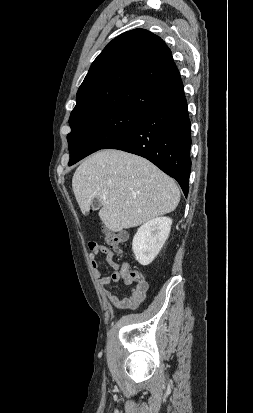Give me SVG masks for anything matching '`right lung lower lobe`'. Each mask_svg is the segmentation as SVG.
Here are the masks:
<instances>
[{
  "label": "right lung lower lobe",
  "mask_w": 253,
  "mask_h": 413,
  "mask_svg": "<svg viewBox=\"0 0 253 413\" xmlns=\"http://www.w3.org/2000/svg\"><path fill=\"white\" fill-rule=\"evenodd\" d=\"M104 149L142 156L177 180L185 196L191 171V123L183 94L146 113L140 124Z\"/></svg>",
  "instance_id": "98d812e1"
}]
</instances>
